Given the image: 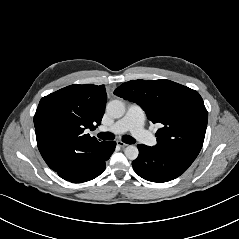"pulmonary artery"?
I'll use <instances>...</instances> for the list:
<instances>
[{"instance_id":"obj_1","label":"pulmonary artery","mask_w":239,"mask_h":239,"mask_svg":"<svg viewBox=\"0 0 239 239\" xmlns=\"http://www.w3.org/2000/svg\"><path fill=\"white\" fill-rule=\"evenodd\" d=\"M145 115L143 110L135 104L128 106L126 114L109 128H101V131H110L120 134L130 131L141 143L154 146L157 143L156 137L144 128Z\"/></svg>"}]
</instances>
